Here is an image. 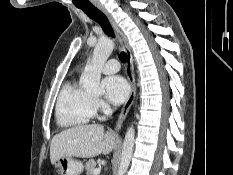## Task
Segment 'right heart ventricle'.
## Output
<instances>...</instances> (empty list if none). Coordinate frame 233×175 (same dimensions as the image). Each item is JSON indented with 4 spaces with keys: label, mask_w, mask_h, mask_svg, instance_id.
I'll return each instance as SVG.
<instances>
[{
    "label": "right heart ventricle",
    "mask_w": 233,
    "mask_h": 175,
    "mask_svg": "<svg viewBox=\"0 0 233 175\" xmlns=\"http://www.w3.org/2000/svg\"><path fill=\"white\" fill-rule=\"evenodd\" d=\"M95 112L94 99L75 81H68L62 86L55 106V117L59 126L83 127L94 118Z\"/></svg>",
    "instance_id": "obj_1"
}]
</instances>
